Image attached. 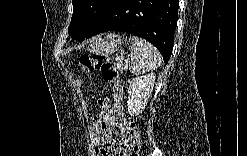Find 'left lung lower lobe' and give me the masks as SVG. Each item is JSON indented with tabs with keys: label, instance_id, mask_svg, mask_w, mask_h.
Here are the masks:
<instances>
[{
	"label": "left lung lower lobe",
	"instance_id": "0a47b994",
	"mask_svg": "<svg viewBox=\"0 0 247 156\" xmlns=\"http://www.w3.org/2000/svg\"><path fill=\"white\" fill-rule=\"evenodd\" d=\"M179 0H113L87 38L105 31L141 36L170 59L177 24Z\"/></svg>",
	"mask_w": 247,
	"mask_h": 156
}]
</instances>
